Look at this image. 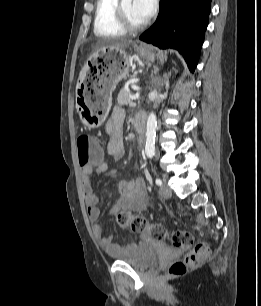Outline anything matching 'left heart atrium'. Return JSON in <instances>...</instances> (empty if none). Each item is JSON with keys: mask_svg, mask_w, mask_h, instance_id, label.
Returning <instances> with one entry per match:
<instances>
[{"mask_svg": "<svg viewBox=\"0 0 261 306\" xmlns=\"http://www.w3.org/2000/svg\"><path fill=\"white\" fill-rule=\"evenodd\" d=\"M136 13L144 21L149 19L155 12L157 0H133Z\"/></svg>", "mask_w": 261, "mask_h": 306, "instance_id": "obj_1", "label": "left heart atrium"}]
</instances>
